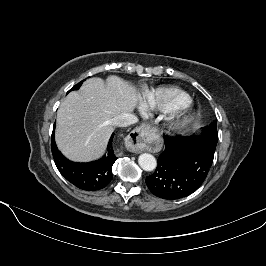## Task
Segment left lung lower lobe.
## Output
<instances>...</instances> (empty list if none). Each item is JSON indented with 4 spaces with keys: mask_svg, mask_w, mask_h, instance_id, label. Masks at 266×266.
Masks as SVG:
<instances>
[{
    "mask_svg": "<svg viewBox=\"0 0 266 266\" xmlns=\"http://www.w3.org/2000/svg\"><path fill=\"white\" fill-rule=\"evenodd\" d=\"M165 150L158 157L154 174L146 184L157 197L175 200L186 197L203 183L214 153L195 139L165 136Z\"/></svg>",
    "mask_w": 266,
    "mask_h": 266,
    "instance_id": "obj_1",
    "label": "left lung lower lobe"
}]
</instances>
